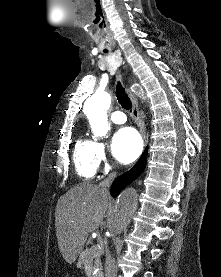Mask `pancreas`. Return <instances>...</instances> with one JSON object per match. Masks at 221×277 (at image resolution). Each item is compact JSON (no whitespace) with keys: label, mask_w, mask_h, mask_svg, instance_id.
I'll use <instances>...</instances> for the list:
<instances>
[{"label":"pancreas","mask_w":221,"mask_h":277,"mask_svg":"<svg viewBox=\"0 0 221 277\" xmlns=\"http://www.w3.org/2000/svg\"><path fill=\"white\" fill-rule=\"evenodd\" d=\"M103 252V245L93 246L83 251L78 260V267L84 269L86 272H91L93 269L101 268V255ZM94 263V265H93ZM95 277H103L101 272H98Z\"/></svg>","instance_id":"obj_1"}]
</instances>
